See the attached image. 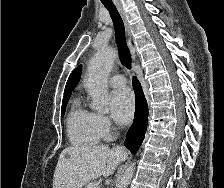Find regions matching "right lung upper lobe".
<instances>
[{
	"label": "right lung upper lobe",
	"instance_id": "right-lung-upper-lobe-1",
	"mask_svg": "<svg viewBox=\"0 0 224 188\" xmlns=\"http://www.w3.org/2000/svg\"><path fill=\"white\" fill-rule=\"evenodd\" d=\"M82 66H78L69 76L64 90L63 102L68 101L71 91L77 86L81 76Z\"/></svg>",
	"mask_w": 224,
	"mask_h": 188
}]
</instances>
